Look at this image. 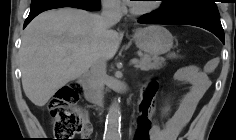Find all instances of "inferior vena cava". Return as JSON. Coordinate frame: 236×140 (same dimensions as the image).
<instances>
[{"instance_id":"obj_1","label":"inferior vena cava","mask_w":236,"mask_h":140,"mask_svg":"<svg viewBox=\"0 0 236 140\" xmlns=\"http://www.w3.org/2000/svg\"><path fill=\"white\" fill-rule=\"evenodd\" d=\"M121 17L122 13L118 0H104L102 2L100 21L105 29L109 30L120 21ZM106 64V59L100 58L91 67L92 84L97 105H101L103 100L105 79L107 77Z\"/></svg>"}]
</instances>
